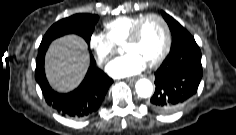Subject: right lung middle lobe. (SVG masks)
<instances>
[{
    "label": "right lung middle lobe",
    "instance_id": "dd1d6c3e",
    "mask_svg": "<svg viewBox=\"0 0 236 135\" xmlns=\"http://www.w3.org/2000/svg\"><path fill=\"white\" fill-rule=\"evenodd\" d=\"M98 15L75 14L53 24L44 35L39 50L47 49L52 40L65 34L74 33L85 39L89 44Z\"/></svg>",
    "mask_w": 236,
    "mask_h": 135
}]
</instances>
